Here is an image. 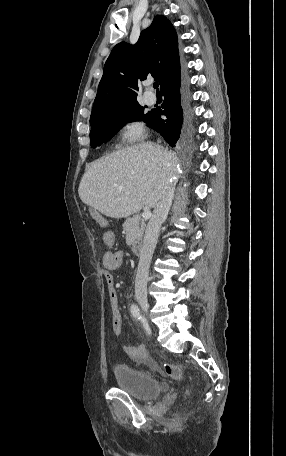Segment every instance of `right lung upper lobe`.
<instances>
[{
  "instance_id": "cb5924a9",
  "label": "right lung upper lobe",
  "mask_w": 286,
  "mask_h": 456,
  "mask_svg": "<svg viewBox=\"0 0 286 456\" xmlns=\"http://www.w3.org/2000/svg\"><path fill=\"white\" fill-rule=\"evenodd\" d=\"M181 75L177 34L171 22L158 15L143 30L135 45L118 43L104 65L90 122L103 113L138 103V80L148 76L159 81L161 90Z\"/></svg>"
}]
</instances>
